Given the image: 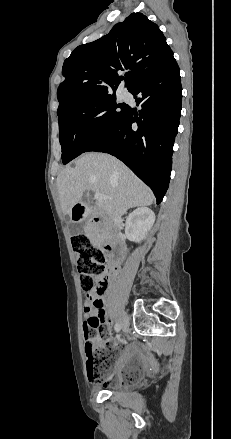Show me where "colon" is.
Returning <instances> with one entry per match:
<instances>
[{
    "mask_svg": "<svg viewBox=\"0 0 231 439\" xmlns=\"http://www.w3.org/2000/svg\"><path fill=\"white\" fill-rule=\"evenodd\" d=\"M71 242L77 259L82 290L87 294L103 293L108 285V268L103 251L93 246L85 234L73 235ZM94 306L99 308L100 303L95 302ZM85 338L86 363L90 378L95 382L115 386L120 376H109L116 358L115 341L107 338L106 332L101 327H96L94 322L85 329ZM98 342H101L100 346L97 345Z\"/></svg>",
    "mask_w": 231,
    "mask_h": 439,
    "instance_id": "1",
    "label": "colon"
}]
</instances>
